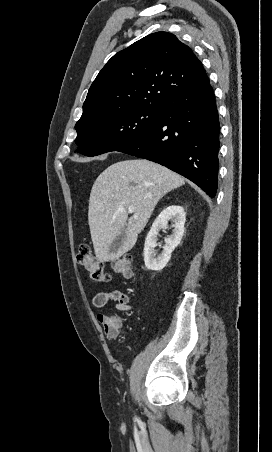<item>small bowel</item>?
<instances>
[{
	"instance_id": "small-bowel-1",
	"label": "small bowel",
	"mask_w": 272,
	"mask_h": 452,
	"mask_svg": "<svg viewBox=\"0 0 272 452\" xmlns=\"http://www.w3.org/2000/svg\"><path fill=\"white\" fill-rule=\"evenodd\" d=\"M109 302H113L115 309L120 312H129L133 309L130 296L121 291L100 292L93 298V305L96 308L104 307ZM97 320L103 326L109 339H115L119 335L123 324L121 316L98 314Z\"/></svg>"
}]
</instances>
